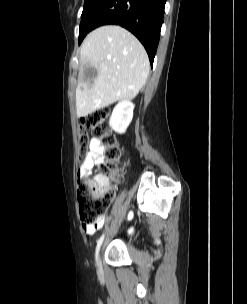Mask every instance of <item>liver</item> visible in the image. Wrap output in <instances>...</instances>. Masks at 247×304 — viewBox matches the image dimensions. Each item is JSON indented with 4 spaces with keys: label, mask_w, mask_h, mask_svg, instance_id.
<instances>
[{
    "label": "liver",
    "mask_w": 247,
    "mask_h": 304,
    "mask_svg": "<svg viewBox=\"0 0 247 304\" xmlns=\"http://www.w3.org/2000/svg\"><path fill=\"white\" fill-rule=\"evenodd\" d=\"M80 64L94 67L97 77L90 86L81 74L76 88L77 117L133 99L145 84L150 69L142 44L129 31L115 25L99 27L85 38Z\"/></svg>",
    "instance_id": "liver-1"
}]
</instances>
